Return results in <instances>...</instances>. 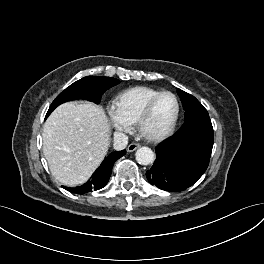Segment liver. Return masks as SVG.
Returning a JSON list of instances; mask_svg holds the SVG:
<instances>
[{"instance_id":"1","label":"liver","mask_w":264,"mask_h":264,"mask_svg":"<svg viewBox=\"0 0 264 264\" xmlns=\"http://www.w3.org/2000/svg\"><path fill=\"white\" fill-rule=\"evenodd\" d=\"M110 124L93 103L58 106L43 127V153L51 174L66 186L86 182L108 151Z\"/></svg>"}]
</instances>
